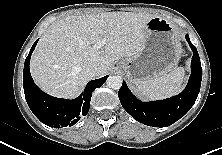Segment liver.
I'll return each mask as SVG.
<instances>
[{
	"instance_id": "1",
	"label": "liver",
	"mask_w": 222,
	"mask_h": 155,
	"mask_svg": "<svg viewBox=\"0 0 222 155\" xmlns=\"http://www.w3.org/2000/svg\"><path fill=\"white\" fill-rule=\"evenodd\" d=\"M153 17L106 12L72 15L54 22L39 39L31 58L35 83L53 96L73 97L90 79L85 71L88 65L98 64L103 76L115 60L139 54L145 47V23ZM104 38V47L95 50L93 46Z\"/></svg>"
}]
</instances>
